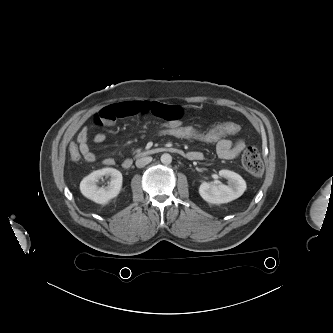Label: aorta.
I'll list each match as a JSON object with an SVG mask.
<instances>
[{
	"label": "aorta",
	"instance_id": "obj_1",
	"mask_svg": "<svg viewBox=\"0 0 333 333\" xmlns=\"http://www.w3.org/2000/svg\"><path fill=\"white\" fill-rule=\"evenodd\" d=\"M161 162L165 165H168L172 162V156L168 153H164L162 156H161Z\"/></svg>",
	"mask_w": 333,
	"mask_h": 333
}]
</instances>
